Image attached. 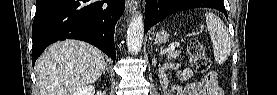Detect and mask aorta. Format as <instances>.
Returning <instances> with one entry per match:
<instances>
[{
    "label": "aorta",
    "instance_id": "762f6f07",
    "mask_svg": "<svg viewBox=\"0 0 277 95\" xmlns=\"http://www.w3.org/2000/svg\"><path fill=\"white\" fill-rule=\"evenodd\" d=\"M144 36V21L141 13L136 12L127 29V48L132 54H138L142 48Z\"/></svg>",
    "mask_w": 277,
    "mask_h": 95
}]
</instances>
